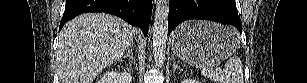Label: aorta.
<instances>
[{
    "label": "aorta",
    "mask_w": 307,
    "mask_h": 83,
    "mask_svg": "<svg viewBox=\"0 0 307 83\" xmlns=\"http://www.w3.org/2000/svg\"><path fill=\"white\" fill-rule=\"evenodd\" d=\"M169 0L156 3L153 25V57L157 67L164 65L168 36Z\"/></svg>",
    "instance_id": "obj_1"
}]
</instances>
